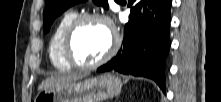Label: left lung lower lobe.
Returning <instances> with one entry per match:
<instances>
[{
    "label": "left lung lower lobe",
    "mask_w": 221,
    "mask_h": 102,
    "mask_svg": "<svg viewBox=\"0 0 221 102\" xmlns=\"http://www.w3.org/2000/svg\"><path fill=\"white\" fill-rule=\"evenodd\" d=\"M171 5L172 0H130L131 16L125 25L123 45L117 55L98 71L115 70L147 77L165 92Z\"/></svg>",
    "instance_id": "1"
}]
</instances>
